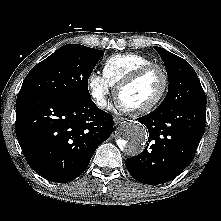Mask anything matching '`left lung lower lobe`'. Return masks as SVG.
Here are the masks:
<instances>
[{
	"label": "left lung lower lobe",
	"mask_w": 221,
	"mask_h": 221,
	"mask_svg": "<svg viewBox=\"0 0 221 221\" xmlns=\"http://www.w3.org/2000/svg\"><path fill=\"white\" fill-rule=\"evenodd\" d=\"M206 104L157 108L138 120L149 131L145 150L126 159L128 172L137 181L156 185L168 182L192 162L205 132Z\"/></svg>",
	"instance_id": "left-lung-lower-lobe-1"
}]
</instances>
